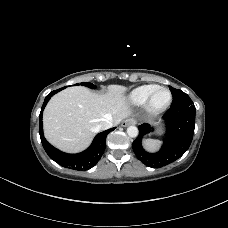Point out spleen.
Segmentation results:
<instances>
[{"label":"spleen","mask_w":228,"mask_h":228,"mask_svg":"<svg viewBox=\"0 0 228 228\" xmlns=\"http://www.w3.org/2000/svg\"><path fill=\"white\" fill-rule=\"evenodd\" d=\"M161 141L155 139H145L143 141L144 148L149 152H155L159 149Z\"/></svg>","instance_id":"spleen-1"}]
</instances>
